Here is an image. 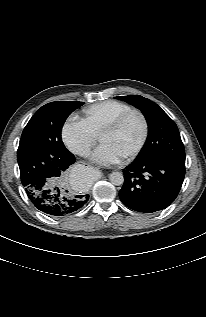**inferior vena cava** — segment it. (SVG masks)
Segmentation results:
<instances>
[{
  "mask_svg": "<svg viewBox=\"0 0 206 317\" xmlns=\"http://www.w3.org/2000/svg\"><path fill=\"white\" fill-rule=\"evenodd\" d=\"M77 154L83 157H88L90 155V150L88 148L82 147L77 150Z\"/></svg>",
  "mask_w": 206,
  "mask_h": 317,
  "instance_id": "obj_1",
  "label": "inferior vena cava"
}]
</instances>
